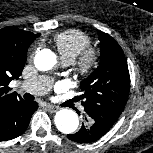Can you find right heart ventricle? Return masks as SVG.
Listing matches in <instances>:
<instances>
[{
	"mask_svg": "<svg viewBox=\"0 0 153 153\" xmlns=\"http://www.w3.org/2000/svg\"><path fill=\"white\" fill-rule=\"evenodd\" d=\"M54 43L62 61L73 62L91 43V37L78 29H70L57 34Z\"/></svg>",
	"mask_w": 153,
	"mask_h": 153,
	"instance_id": "e07e8e85",
	"label": "right heart ventricle"
}]
</instances>
